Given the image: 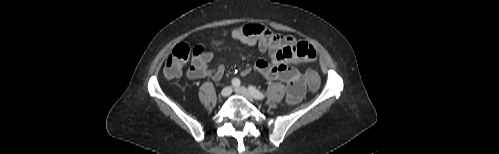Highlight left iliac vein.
I'll return each instance as SVG.
<instances>
[{
  "label": "left iliac vein",
  "instance_id": "1",
  "mask_svg": "<svg viewBox=\"0 0 499 154\" xmlns=\"http://www.w3.org/2000/svg\"><path fill=\"white\" fill-rule=\"evenodd\" d=\"M235 92L239 95H242L244 96L246 99H248L249 101L253 102L254 101V96L250 93V91L248 89H246L245 87H237L235 88Z\"/></svg>",
  "mask_w": 499,
  "mask_h": 154
}]
</instances>
